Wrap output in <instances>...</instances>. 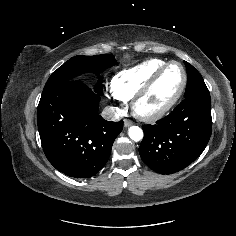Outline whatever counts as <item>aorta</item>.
Masks as SVG:
<instances>
[{
  "mask_svg": "<svg viewBox=\"0 0 236 236\" xmlns=\"http://www.w3.org/2000/svg\"><path fill=\"white\" fill-rule=\"evenodd\" d=\"M128 135L129 137L134 140V141H140L143 138V131L140 127L138 126H131L128 129Z\"/></svg>",
  "mask_w": 236,
  "mask_h": 236,
  "instance_id": "762f6f07",
  "label": "aorta"
}]
</instances>
